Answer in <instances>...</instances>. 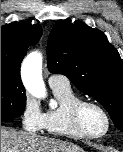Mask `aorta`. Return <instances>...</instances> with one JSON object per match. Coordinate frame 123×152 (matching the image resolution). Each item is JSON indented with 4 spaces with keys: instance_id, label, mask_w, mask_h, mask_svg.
Masks as SVG:
<instances>
[{
    "instance_id": "1",
    "label": "aorta",
    "mask_w": 123,
    "mask_h": 152,
    "mask_svg": "<svg viewBox=\"0 0 123 152\" xmlns=\"http://www.w3.org/2000/svg\"><path fill=\"white\" fill-rule=\"evenodd\" d=\"M42 54L30 53L22 64V77L27 91L36 98H45L46 91L42 79Z\"/></svg>"
}]
</instances>
